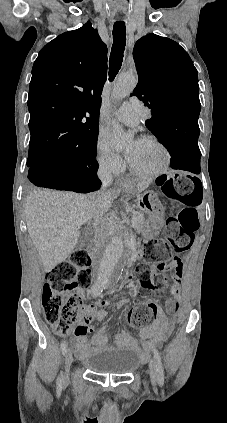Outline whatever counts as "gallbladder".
<instances>
[{"mask_svg": "<svg viewBox=\"0 0 227 423\" xmlns=\"http://www.w3.org/2000/svg\"><path fill=\"white\" fill-rule=\"evenodd\" d=\"M93 237L94 231L91 225H86V227H82V229H80V235L76 247H87L88 243H90Z\"/></svg>", "mask_w": 227, "mask_h": 423, "instance_id": "obj_1", "label": "gallbladder"}]
</instances>
